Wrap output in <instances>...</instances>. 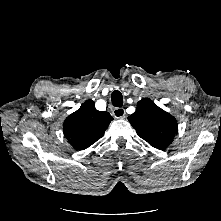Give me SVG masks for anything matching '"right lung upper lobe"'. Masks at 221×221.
Listing matches in <instances>:
<instances>
[{
    "instance_id": "1",
    "label": "right lung upper lobe",
    "mask_w": 221,
    "mask_h": 221,
    "mask_svg": "<svg viewBox=\"0 0 221 221\" xmlns=\"http://www.w3.org/2000/svg\"><path fill=\"white\" fill-rule=\"evenodd\" d=\"M112 119L108 112L96 110L94 102L87 100L66 118L64 135L75 149L83 150L103 136Z\"/></svg>"
}]
</instances>
